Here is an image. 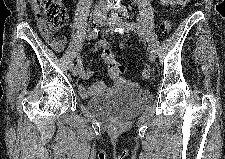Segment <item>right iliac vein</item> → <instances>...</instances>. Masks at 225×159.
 <instances>
[{"label": "right iliac vein", "mask_w": 225, "mask_h": 159, "mask_svg": "<svg viewBox=\"0 0 225 159\" xmlns=\"http://www.w3.org/2000/svg\"><path fill=\"white\" fill-rule=\"evenodd\" d=\"M92 19H93L94 24H97V25L101 24V22L103 20L102 11L99 10V9H95L94 13H93V16H92ZM71 71H72L73 76H77L80 72V68L78 66H73Z\"/></svg>", "instance_id": "1"}]
</instances>
